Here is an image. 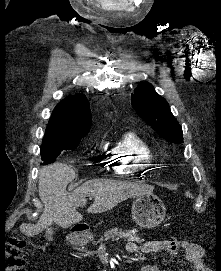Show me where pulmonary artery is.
<instances>
[{
	"instance_id": "e3ab8cb5",
	"label": "pulmonary artery",
	"mask_w": 221,
	"mask_h": 271,
	"mask_svg": "<svg viewBox=\"0 0 221 271\" xmlns=\"http://www.w3.org/2000/svg\"><path fill=\"white\" fill-rule=\"evenodd\" d=\"M129 131L131 133H127V138H134V133H132L134 130L131 128Z\"/></svg>"
}]
</instances>
